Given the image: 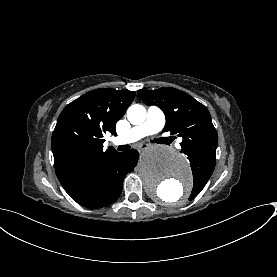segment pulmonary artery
<instances>
[{
  "instance_id": "e3ab8cb5",
  "label": "pulmonary artery",
  "mask_w": 277,
  "mask_h": 277,
  "mask_svg": "<svg viewBox=\"0 0 277 277\" xmlns=\"http://www.w3.org/2000/svg\"><path fill=\"white\" fill-rule=\"evenodd\" d=\"M165 117L158 106H151L146 111V118L143 122L132 127L125 135L115 140L117 144L132 143L148 135L157 133L163 129Z\"/></svg>"
}]
</instances>
